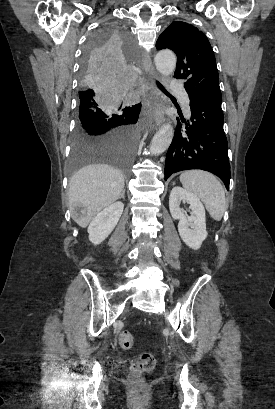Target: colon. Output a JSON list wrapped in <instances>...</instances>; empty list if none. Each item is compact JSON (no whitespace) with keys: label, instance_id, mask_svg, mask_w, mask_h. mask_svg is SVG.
<instances>
[{"label":"colon","instance_id":"colon-1","mask_svg":"<svg viewBox=\"0 0 275 409\" xmlns=\"http://www.w3.org/2000/svg\"><path fill=\"white\" fill-rule=\"evenodd\" d=\"M118 344L123 349H130L134 345V336L130 331H122L118 336ZM155 366V358L150 353H142L135 358L130 365V376L140 379L152 371Z\"/></svg>","mask_w":275,"mask_h":409}]
</instances>
